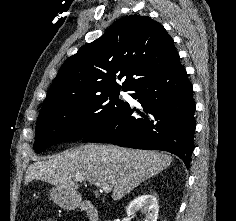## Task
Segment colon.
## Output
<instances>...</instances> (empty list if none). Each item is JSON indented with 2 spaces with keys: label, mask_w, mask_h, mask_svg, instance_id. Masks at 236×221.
Masks as SVG:
<instances>
[{
  "label": "colon",
  "mask_w": 236,
  "mask_h": 221,
  "mask_svg": "<svg viewBox=\"0 0 236 221\" xmlns=\"http://www.w3.org/2000/svg\"><path fill=\"white\" fill-rule=\"evenodd\" d=\"M38 221H54L52 218H46V219H41V220H38Z\"/></svg>",
  "instance_id": "obj_1"
}]
</instances>
